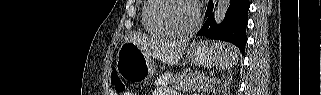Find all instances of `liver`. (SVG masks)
<instances>
[{"label":"liver","instance_id":"6515ba94","mask_svg":"<svg viewBox=\"0 0 321 95\" xmlns=\"http://www.w3.org/2000/svg\"><path fill=\"white\" fill-rule=\"evenodd\" d=\"M125 42H132L154 58L170 65H175L181 59L189 40H155L141 33L128 34Z\"/></svg>","mask_w":321,"mask_h":95}]
</instances>
